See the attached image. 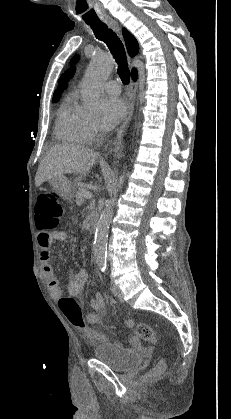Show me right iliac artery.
I'll list each match as a JSON object with an SVG mask.
<instances>
[{
    "instance_id": "obj_1",
    "label": "right iliac artery",
    "mask_w": 231,
    "mask_h": 419,
    "mask_svg": "<svg viewBox=\"0 0 231 419\" xmlns=\"http://www.w3.org/2000/svg\"><path fill=\"white\" fill-rule=\"evenodd\" d=\"M105 265H100V269H101V271L103 272V271H105Z\"/></svg>"
}]
</instances>
